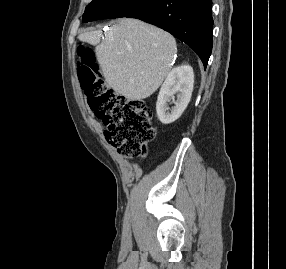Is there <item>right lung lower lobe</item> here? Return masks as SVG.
Returning <instances> with one entry per match:
<instances>
[{
  "label": "right lung lower lobe",
  "mask_w": 286,
  "mask_h": 269,
  "mask_svg": "<svg viewBox=\"0 0 286 269\" xmlns=\"http://www.w3.org/2000/svg\"><path fill=\"white\" fill-rule=\"evenodd\" d=\"M211 0H152L128 17L156 25L189 45L206 68L212 51Z\"/></svg>",
  "instance_id": "98d812e1"
}]
</instances>
